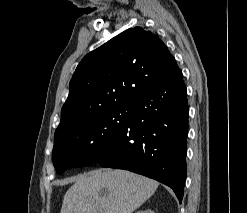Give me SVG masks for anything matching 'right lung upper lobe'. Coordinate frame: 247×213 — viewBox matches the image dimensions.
<instances>
[{"instance_id":"1","label":"right lung upper lobe","mask_w":247,"mask_h":213,"mask_svg":"<svg viewBox=\"0 0 247 213\" xmlns=\"http://www.w3.org/2000/svg\"><path fill=\"white\" fill-rule=\"evenodd\" d=\"M178 69L157 35L141 27L127 29L81 60L70 81L55 137L130 101Z\"/></svg>"}]
</instances>
